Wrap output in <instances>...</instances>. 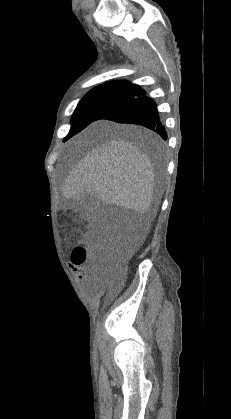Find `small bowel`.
<instances>
[{
    "label": "small bowel",
    "instance_id": "obj_1",
    "mask_svg": "<svg viewBox=\"0 0 231 419\" xmlns=\"http://www.w3.org/2000/svg\"><path fill=\"white\" fill-rule=\"evenodd\" d=\"M78 278L81 282H85L88 279V273L85 269L81 268L77 271Z\"/></svg>",
    "mask_w": 231,
    "mask_h": 419
}]
</instances>
